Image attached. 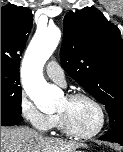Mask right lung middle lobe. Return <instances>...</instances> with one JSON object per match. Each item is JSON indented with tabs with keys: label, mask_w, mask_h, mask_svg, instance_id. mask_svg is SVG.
I'll list each match as a JSON object with an SVG mask.
<instances>
[{
	"label": "right lung middle lobe",
	"mask_w": 123,
	"mask_h": 152,
	"mask_svg": "<svg viewBox=\"0 0 123 152\" xmlns=\"http://www.w3.org/2000/svg\"><path fill=\"white\" fill-rule=\"evenodd\" d=\"M19 72L1 70V112L21 114L22 88Z\"/></svg>",
	"instance_id": "obj_1"
}]
</instances>
